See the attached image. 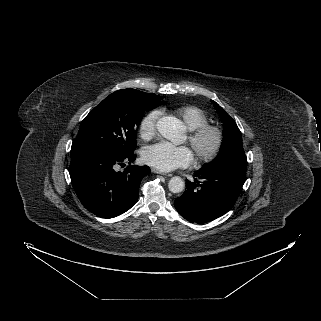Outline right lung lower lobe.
<instances>
[{"mask_svg": "<svg viewBox=\"0 0 321 321\" xmlns=\"http://www.w3.org/2000/svg\"><path fill=\"white\" fill-rule=\"evenodd\" d=\"M135 159L134 153L119 157L88 150L71 153V182L83 206L102 218H113L129 210L136 203L140 182L150 168L128 166L121 173L115 167Z\"/></svg>", "mask_w": 321, "mask_h": 321, "instance_id": "1", "label": "right lung lower lobe"}]
</instances>
